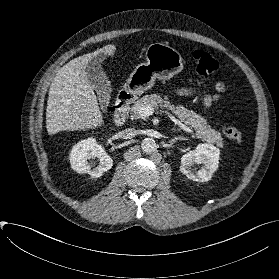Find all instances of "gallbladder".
Returning <instances> with one entry per match:
<instances>
[{
  "instance_id": "obj_1",
  "label": "gallbladder",
  "mask_w": 279,
  "mask_h": 279,
  "mask_svg": "<svg viewBox=\"0 0 279 279\" xmlns=\"http://www.w3.org/2000/svg\"><path fill=\"white\" fill-rule=\"evenodd\" d=\"M104 56H94L86 67V75L92 87L96 90L102 108L109 104L111 96V83L101 65Z\"/></svg>"
}]
</instances>
